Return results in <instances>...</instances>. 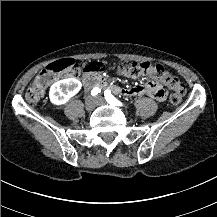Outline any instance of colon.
Here are the masks:
<instances>
[{"label":"colon","mask_w":217,"mask_h":217,"mask_svg":"<svg viewBox=\"0 0 217 217\" xmlns=\"http://www.w3.org/2000/svg\"><path fill=\"white\" fill-rule=\"evenodd\" d=\"M74 68L73 60L70 57L53 61L40 71L38 78L28 88L25 97L30 103L39 101L44 94L47 83L51 82L53 76L59 77L72 72ZM121 68L127 71L129 77L134 79H146L160 82L168 89H176L179 95L170 94V102L178 104L182 101V96L188 92V87L181 80L161 66H153L148 62H132L122 65ZM145 87V86H144Z\"/></svg>","instance_id":"obj_1"}]
</instances>
